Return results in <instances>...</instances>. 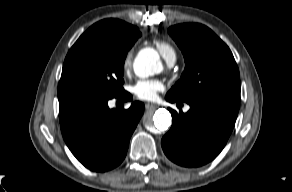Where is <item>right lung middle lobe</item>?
Segmentation results:
<instances>
[{"mask_svg": "<svg viewBox=\"0 0 292 192\" xmlns=\"http://www.w3.org/2000/svg\"><path fill=\"white\" fill-rule=\"evenodd\" d=\"M140 35L122 36L103 22L92 25L69 50L58 91L74 88L107 97L122 94L124 61Z\"/></svg>", "mask_w": 292, "mask_h": 192, "instance_id": "right-lung-middle-lobe-1", "label": "right lung middle lobe"}]
</instances>
